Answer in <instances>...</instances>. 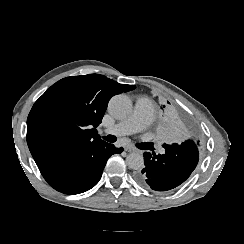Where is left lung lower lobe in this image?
Listing matches in <instances>:
<instances>
[{"instance_id": "0a47b994", "label": "left lung lower lobe", "mask_w": 244, "mask_h": 244, "mask_svg": "<svg viewBox=\"0 0 244 244\" xmlns=\"http://www.w3.org/2000/svg\"><path fill=\"white\" fill-rule=\"evenodd\" d=\"M164 154L144 152L145 168L135 174L137 183L157 191H167L183 183L196 168L199 141L193 138L182 143L163 144Z\"/></svg>"}]
</instances>
